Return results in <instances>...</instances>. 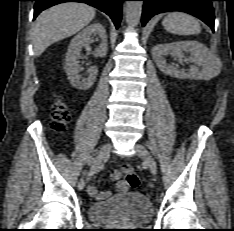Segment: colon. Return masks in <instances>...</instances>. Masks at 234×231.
I'll return each mask as SVG.
<instances>
[{"mask_svg": "<svg viewBox=\"0 0 234 231\" xmlns=\"http://www.w3.org/2000/svg\"><path fill=\"white\" fill-rule=\"evenodd\" d=\"M69 118L70 115L65 105L61 101H55V103L53 104L51 121L52 128L58 132L64 131ZM121 176L124 177V181L129 187L136 188L139 185L138 175L130 165L125 164L120 171L114 170L111 173V178L113 180H118L121 178Z\"/></svg>", "mask_w": 234, "mask_h": 231, "instance_id": "1", "label": "colon"}]
</instances>
